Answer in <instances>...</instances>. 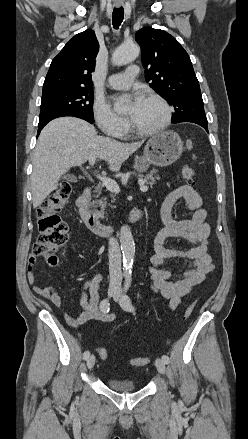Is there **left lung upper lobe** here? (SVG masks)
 <instances>
[{"label":"left lung upper lobe","mask_w":248,"mask_h":439,"mask_svg":"<svg viewBox=\"0 0 248 439\" xmlns=\"http://www.w3.org/2000/svg\"><path fill=\"white\" fill-rule=\"evenodd\" d=\"M135 40L141 47L146 81L174 106L172 122L206 119L191 60L179 42L169 33L152 27L137 31Z\"/></svg>","instance_id":"1"}]
</instances>
